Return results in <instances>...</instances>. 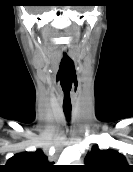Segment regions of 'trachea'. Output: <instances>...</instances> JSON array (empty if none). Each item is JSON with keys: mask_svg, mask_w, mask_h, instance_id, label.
Returning <instances> with one entry per match:
<instances>
[{"mask_svg": "<svg viewBox=\"0 0 133 172\" xmlns=\"http://www.w3.org/2000/svg\"><path fill=\"white\" fill-rule=\"evenodd\" d=\"M63 111L67 120L69 121L71 117V107H63Z\"/></svg>", "mask_w": 133, "mask_h": 172, "instance_id": "3493384b", "label": "trachea"}]
</instances>
